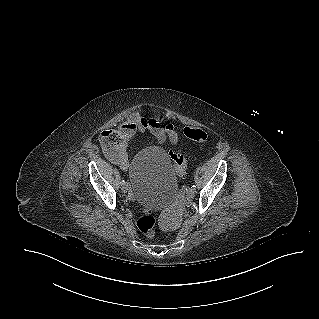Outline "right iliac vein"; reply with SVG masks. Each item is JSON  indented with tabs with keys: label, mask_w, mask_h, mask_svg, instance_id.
<instances>
[{
	"label": "right iliac vein",
	"mask_w": 319,
	"mask_h": 319,
	"mask_svg": "<svg viewBox=\"0 0 319 319\" xmlns=\"http://www.w3.org/2000/svg\"><path fill=\"white\" fill-rule=\"evenodd\" d=\"M122 191L124 192V193H126V192H128V190H129V185H128V183L127 182H125L124 184H122Z\"/></svg>",
	"instance_id": "obj_1"
}]
</instances>
